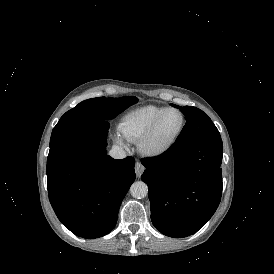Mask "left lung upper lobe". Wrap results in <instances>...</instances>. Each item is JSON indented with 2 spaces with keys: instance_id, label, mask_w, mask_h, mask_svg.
Listing matches in <instances>:
<instances>
[{
  "instance_id": "left-lung-upper-lobe-1",
  "label": "left lung upper lobe",
  "mask_w": 274,
  "mask_h": 274,
  "mask_svg": "<svg viewBox=\"0 0 274 274\" xmlns=\"http://www.w3.org/2000/svg\"><path fill=\"white\" fill-rule=\"evenodd\" d=\"M173 106L180 108L186 119V125L173 145L180 146L202 139L221 138L216 126L202 110L191 106L180 107L174 104Z\"/></svg>"
}]
</instances>
